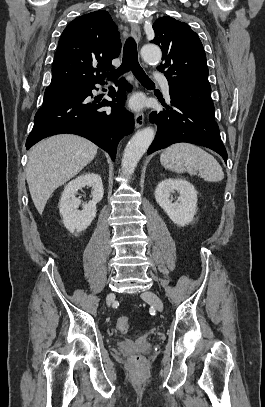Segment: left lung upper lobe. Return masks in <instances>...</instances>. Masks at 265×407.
Masks as SVG:
<instances>
[{
    "instance_id": "left-lung-upper-lobe-1",
    "label": "left lung upper lobe",
    "mask_w": 265,
    "mask_h": 407,
    "mask_svg": "<svg viewBox=\"0 0 265 407\" xmlns=\"http://www.w3.org/2000/svg\"><path fill=\"white\" fill-rule=\"evenodd\" d=\"M153 29L151 42L163 53V63L157 69L165 71L171 99L215 118L206 55L198 35L187 24L168 16L157 19Z\"/></svg>"
}]
</instances>
